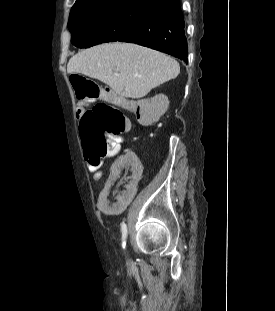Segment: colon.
Wrapping results in <instances>:
<instances>
[{"label":"colon","instance_id":"obj_1","mask_svg":"<svg viewBox=\"0 0 275 311\" xmlns=\"http://www.w3.org/2000/svg\"><path fill=\"white\" fill-rule=\"evenodd\" d=\"M71 82L79 102L95 104L80 116V134L88 157L101 160L119 151L112 136L124 132L128 127L127 117L110 103L111 92H104L93 80L78 74L71 76ZM129 110L135 111L143 124H152L156 116L150 112L149 103H130L119 98Z\"/></svg>","mask_w":275,"mask_h":311}]
</instances>
